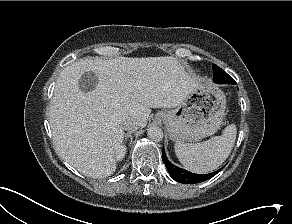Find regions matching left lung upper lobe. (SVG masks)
I'll list each match as a JSON object with an SVG mask.
<instances>
[{
  "label": "left lung upper lobe",
  "instance_id": "left-lung-upper-lobe-1",
  "mask_svg": "<svg viewBox=\"0 0 292 224\" xmlns=\"http://www.w3.org/2000/svg\"><path fill=\"white\" fill-rule=\"evenodd\" d=\"M225 72V71H224ZM224 72L221 68H219L217 65L213 64V73H214V82L218 83L217 80L224 79ZM231 84V83H228Z\"/></svg>",
  "mask_w": 292,
  "mask_h": 224
}]
</instances>
